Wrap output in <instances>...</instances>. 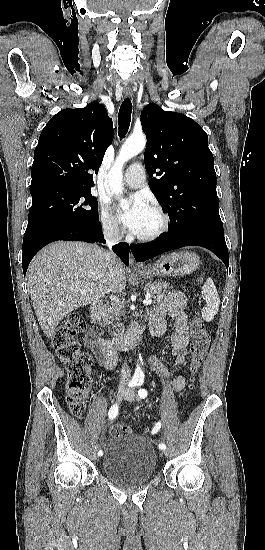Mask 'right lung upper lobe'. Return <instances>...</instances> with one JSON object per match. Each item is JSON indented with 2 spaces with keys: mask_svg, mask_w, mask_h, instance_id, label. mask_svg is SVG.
<instances>
[{
  "mask_svg": "<svg viewBox=\"0 0 265 550\" xmlns=\"http://www.w3.org/2000/svg\"><path fill=\"white\" fill-rule=\"evenodd\" d=\"M113 140L112 119L106 108L92 102L64 109L46 124L34 151L31 189L62 187L90 190L107 147Z\"/></svg>",
  "mask_w": 265,
  "mask_h": 550,
  "instance_id": "1",
  "label": "right lung upper lobe"
}]
</instances>
